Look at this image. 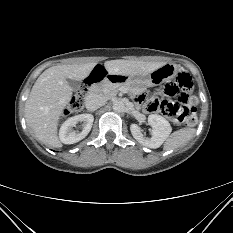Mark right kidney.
I'll list each match as a JSON object with an SVG mask.
<instances>
[{
  "label": "right kidney",
  "mask_w": 233,
  "mask_h": 233,
  "mask_svg": "<svg viewBox=\"0 0 233 233\" xmlns=\"http://www.w3.org/2000/svg\"><path fill=\"white\" fill-rule=\"evenodd\" d=\"M94 117L92 114H79L67 119L59 130L60 141L64 144H74L84 139L90 132ZM83 122L81 132H76L72 128L78 123Z\"/></svg>",
  "instance_id": "1"
}]
</instances>
